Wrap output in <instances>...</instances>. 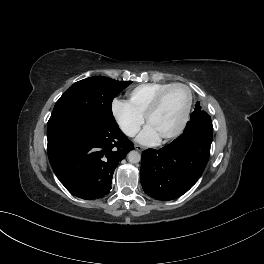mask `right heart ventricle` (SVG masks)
I'll return each mask as SVG.
<instances>
[{"label":"right heart ventricle","instance_id":"right-heart-ventricle-1","mask_svg":"<svg viewBox=\"0 0 264 264\" xmlns=\"http://www.w3.org/2000/svg\"><path fill=\"white\" fill-rule=\"evenodd\" d=\"M168 85L169 83H147L138 85L128 91V103L136 112L144 116L148 106L157 93Z\"/></svg>","mask_w":264,"mask_h":264}]
</instances>
